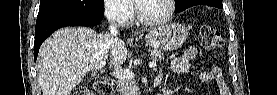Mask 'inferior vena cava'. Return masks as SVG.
<instances>
[{
  "label": "inferior vena cava",
  "mask_w": 277,
  "mask_h": 95,
  "mask_svg": "<svg viewBox=\"0 0 277 95\" xmlns=\"http://www.w3.org/2000/svg\"><path fill=\"white\" fill-rule=\"evenodd\" d=\"M109 30H110L111 36H113V37L116 36L118 33L117 27L114 24H111L109 26Z\"/></svg>",
  "instance_id": "1"
}]
</instances>
